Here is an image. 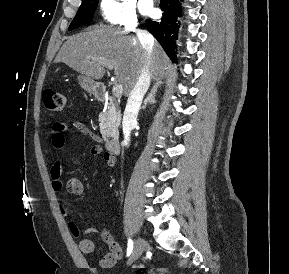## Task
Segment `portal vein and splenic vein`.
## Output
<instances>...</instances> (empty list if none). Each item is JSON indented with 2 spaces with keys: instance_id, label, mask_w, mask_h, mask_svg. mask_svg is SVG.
Returning a JSON list of instances; mask_svg holds the SVG:
<instances>
[{
  "instance_id": "18ae733b",
  "label": "portal vein and splenic vein",
  "mask_w": 289,
  "mask_h": 274,
  "mask_svg": "<svg viewBox=\"0 0 289 274\" xmlns=\"http://www.w3.org/2000/svg\"><path fill=\"white\" fill-rule=\"evenodd\" d=\"M107 68L109 70H112L114 68V66H113V64H108ZM112 92H113V95L115 97H120L122 95V93H123V85L120 84V83H115L114 86H113Z\"/></svg>"
}]
</instances>
